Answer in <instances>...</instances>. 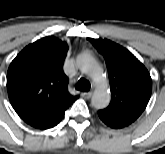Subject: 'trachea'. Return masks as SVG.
Returning <instances> with one entry per match:
<instances>
[{"mask_svg": "<svg viewBox=\"0 0 165 154\" xmlns=\"http://www.w3.org/2000/svg\"><path fill=\"white\" fill-rule=\"evenodd\" d=\"M75 88H76L77 90H79V91L87 92V91L90 90V83H89L86 79L81 78V79L77 82Z\"/></svg>", "mask_w": 165, "mask_h": 154, "instance_id": "1", "label": "trachea"}]
</instances>
